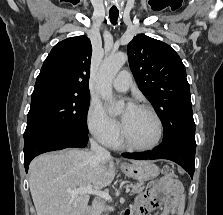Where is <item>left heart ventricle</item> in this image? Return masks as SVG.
<instances>
[{
  "label": "left heart ventricle",
  "mask_w": 223,
  "mask_h": 215,
  "mask_svg": "<svg viewBox=\"0 0 223 215\" xmlns=\"http://www.w3.org/2000/svg\"><path fill=\"white\" fill-rule=\"evenodd\" d=\"M123 138L136 146L150 145L156 137V124L152 116L144 111L135 110L126 116V110L122 113Z\"/></svg>",
  "instance_id": "obj_1"
}]
</instances>
